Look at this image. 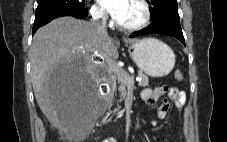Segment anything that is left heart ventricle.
Wrapping results in <instances>:
<instances>
[{
	"label": "left heart ventricle",
	"instance_id": "left-heart-ventricle-1",
	"mask_svg": "<svg viewBox=\"0 0 227 142\" xmlns=\"http://www.w3.org/2000/svg\"><path fill=\"white\" fill-rule=\"evenodd\" d=\"M142 18V8L136 0H129L126 11L118 21L124 25L137 23Z\"/></svg>",
	"mask_w": 227,
	"mask_h": 142
}]
</instances>
